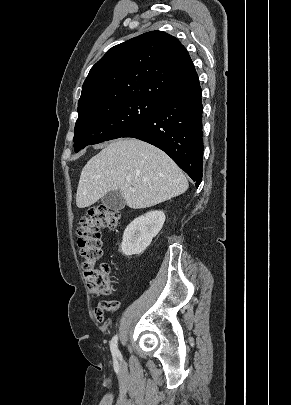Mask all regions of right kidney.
<instances>
[{"label": "right kidney", "instance_id": "right-kidney-1", "mask_svg": "<svg viewBox=\"0 0 291 405\" xmlns=\"http://www.w3.org/2000/svg\"><path fill=\"white\" fill-rule=\"evenodd\" d=\"M162 211H150L134 219L125 229L121 244L124 255H137L145 251L165 222Z\"/></svg>", "mask_w": 291, "mask_h": 405}]
</instances>
